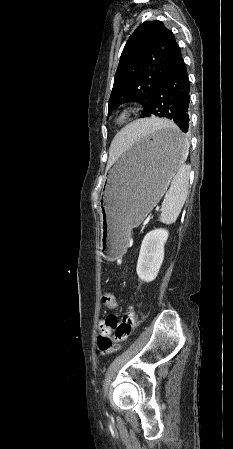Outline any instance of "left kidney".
Masks as SVG:
<instances>
[{"mask_svg": "<svg viewBox=\"0 0 233 449\" xmlns=\"http://www.w3.org/2000/svg\"><path fill=\"white\" fill-rule=\"evenodd\" d=\"M169 233L166 229H155L148 232L141 244L136 272L144 282L153 281L164 260V245Z\"/></svg>", "mask_w": 233, "mask_h": 449, "instance_id": "1", "label": "left kidney"}]
</instances>
